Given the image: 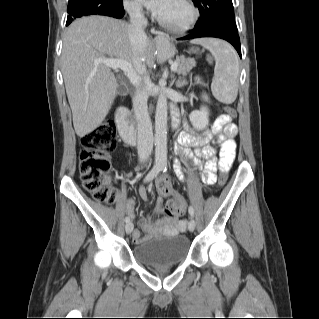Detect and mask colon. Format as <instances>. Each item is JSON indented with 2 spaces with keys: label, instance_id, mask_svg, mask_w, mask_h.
<instances>
[{
  "label": "colon",
  "instance_id": "colon-1",
  "mask_svg": "<svg viewBox=\"0 0 319 319\" xmlns=\"http://www.w3.org/2000/svg\"><path fill=\"white\" fill-rule=\"evenodd\" d=\"M194 54V50H189ZM224 111L235 116L234 108L226 106ZM116 126L112 121L100 124L95 130L85 135L81 140L79 172L84 188L97 201L113 204L117 199L116 192L109 183L111 169L110 153L116 147ZM227 181L226 172H221L218 184L224 185ZM168 183H160L159 189L168 187ZM182 205L174 199L167 202L165 213L169 218H176L182 214Z\"/></svg>",
  "mask_w": 319,
  "mask_h": 319
}]
</instances>
